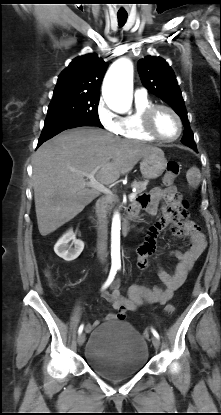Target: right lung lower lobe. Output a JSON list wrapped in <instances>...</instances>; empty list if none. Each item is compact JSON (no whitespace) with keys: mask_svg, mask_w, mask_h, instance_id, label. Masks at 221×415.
Segmentation results:
<instances>
[{"mask_svg":"<svg viewBox=\"0 0 221 415\" xmlns=\"http://www.w3.org/2000/svg\"><path fill=\"white\" fill-rule=\"evenodd\" d=\"M80 126H97L89 121L83 119H71V118H46L44 128L42 130L41 136L38 140V146H40L46 140L52 138L53 136L59 134L60 132L80 127Z\"/></svg>","mask_w":221,"mask_h":415,"instance_id":"98d812e1","label":"right lung lower lobe"}]
</instances>
